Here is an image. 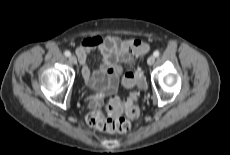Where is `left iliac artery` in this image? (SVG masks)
<instances>
[{"mask_svg":"<svg viewBox=\"0 0 230 155\" xmlns=\"http://www.w3.org/2000/svg\"><path fill=\"white\" fill-rule=\"evenodd\" d=\"M159 51H154V53H153V55L155 56V57H158L159 56Z\"/></svg>","mask_w":230,"mask_h":155,"instance_id":"1","label":"left iliac artery"}]
</instances>
